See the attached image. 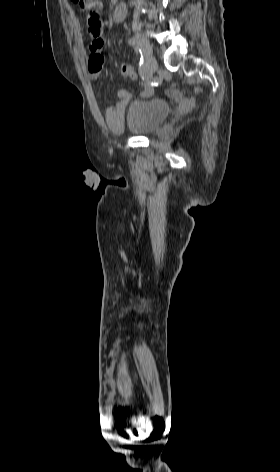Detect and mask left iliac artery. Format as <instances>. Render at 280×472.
Returning a JSON list of instances; mask_svg holds the SVG:
<instances>
[{"instance_id":"1","label":"left iliac artery","mask_w":280,"mask_h":472,"mask_svg":"<svg viewBox=\"0 0 280 472\" xmlns=\"http://www.w3.org/2000/svg\"><path fill=\"white\" fill-rule=\"evenodd\" d=\"M128 43L130 45H133L135 48H137L140 52L141 59H140V65L143 63V61L147 58L149 48L138 38H131L129 39Z\"/></svg>"}]
</instances>
